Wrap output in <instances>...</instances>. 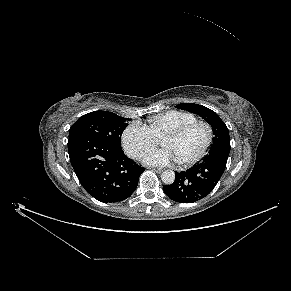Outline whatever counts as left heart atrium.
<instances>
[{
    "label": "left heart atrium",
    "mask_w": 291,
    "mask_h": 291,
    "mask_svg": "<svg viewBox=\"0 0 291 291\" xmlns=\"http://www.w3.org/2000/svg\"><path fill=\"white\" fill-rule=\"evenodd\" d=\"M142 160L150 166H166L171 162L178 161L173 151L167 147L148 151Z\"/></svg>",
    "instance_id": "1"
}]
</instances>
